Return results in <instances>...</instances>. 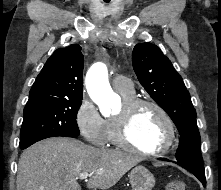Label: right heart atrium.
Segmentation results:
<instances>
[{"label": "right heart atrium", "mask_w": 221, "mask_h": 190, "mask_svg": "<svg viewBox=\"0 0 221 190\" xmlns=\"http://www.w3.org/2000/svg\"><path fill=\"white\" fill-rule=\"evenodd\" d=\"M75 123L83 138L91 145L103 147L108 143V121L95 104L83 97L75 113Z\"/></svg>", "instance_id": "d8ad5b80"}]
</instances>
